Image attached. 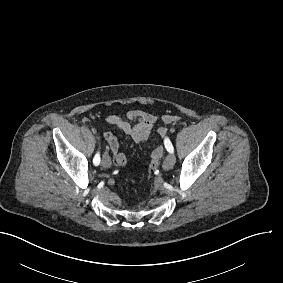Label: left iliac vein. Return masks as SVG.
Masks as SVG:
<instances>
[{
  "instance_id": "left-iliac-vein-1",
  "label": "left iliac vein",
  "mask_w": 283,
  "mask_h": 283,
  "mask_svg": "<svg viewBox=\"0 0 283 283\" xmlns=\"http://www.w3.org/2000/svg\"><path fill=\"white\" fill-rule=\"evenodd\" d=\"M176 162V157L173 153H170L166 156L163 162L164 169H171Z\"/></svg>"
}]
</instances>
